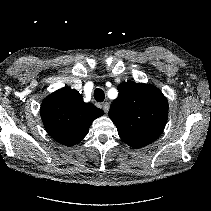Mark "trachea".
Here are the masks:
<instances>
[{
  "mask_svg": "<svg viewBox=\"0 0 211 211\" xmlns=\"http://www.w3.org/2000/svg\"><path fill=\"white\" fill-rule=\"evenodd\" d=\"M94 98L97 102H103L105 99L104 91L100 88L94 90Z\"/></svg>",
  "mask_w": 211,
  "mask_h": 211,
  "instance_id": "obj_1",
  "label": "trachea"
}]
</instances>
